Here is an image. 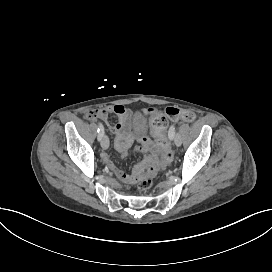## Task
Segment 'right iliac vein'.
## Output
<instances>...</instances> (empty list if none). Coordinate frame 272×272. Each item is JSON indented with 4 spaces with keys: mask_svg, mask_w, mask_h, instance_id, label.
I'll list each match as a JSON object with an SVG mask.
<instances>
[{
    "mask_svg": "<svg viewBox=\"0 0 272 272\" xmlns=\"http://www.w3.org/2000/svg\"><path fill=\"white\" fill-rule=\"evenodd\" d=\"M101 147L103 149H108L109 147V138L106 135L101 138Z\"/></svg>",
    "mask_w": 272,
    "mask_h": 272,
    "instance_id": "obj_1",
    "label": "right iliac vein"
}]
</instances>
